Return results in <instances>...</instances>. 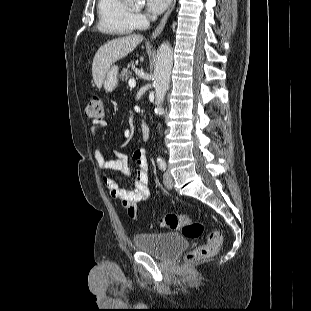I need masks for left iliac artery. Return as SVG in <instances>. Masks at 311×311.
<instances>
[{
    "mask_svg": "<svg viewBox=\"0 0 311 311\" xmlns=\"http://www.w3.org/2000/svg\"><path fill=\"white\" fill-rule=\"evenodd\" d=\"M157 163L161 170L164 171L166 169V162L163 158H157Z\"/></svg>",
    "mask_w": 311,
    "mask_h": 311,
    "instance_id": "obj_1",
    "label": "left iliac artery"
}]
</instances>
